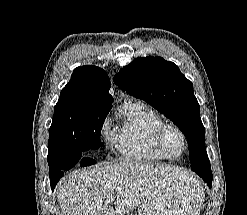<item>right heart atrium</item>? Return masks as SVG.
I'll list each match as a JSON object with an SVG mask.
<instances>
[{
	"label": "right heart atrium",
	"mask_w": 247,
	"mask_h": 215,
	"mask_svg": "<svg viewBox=\"0 0 247 215\" xmlns=\"http://www.w3.org/2000/svg\"><path fill=\"white\" fill-rule=\"evenodd\" d=\"M110 120L109 119H105L101 126H100V132L103 136H110L111 135V132H110Z\"/></svg>",
	"instance_id": "1"
}]
</instances>
